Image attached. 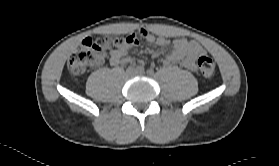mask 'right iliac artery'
I'll return each mask as SVG.
<instances>
[{
    "mask_svg": "<svg viewBox=\"0 0 279 166\" xmlns=\"http://www.w3.org/2000/svg\"><path fill=\"white\" fill-rule=\"evenodd\" d=\"M136 70L138 72H144V66L143 65H139V66L136 67Z\"/></svg>",
    "mask_w": 279,
    "mask_h": 166,
    "instance_id": "obj_1",
    "label": "right iliac artery"
}]
</instances>
